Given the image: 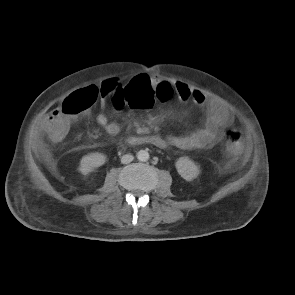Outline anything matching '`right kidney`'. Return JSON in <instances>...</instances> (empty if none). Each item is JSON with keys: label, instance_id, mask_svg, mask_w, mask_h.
I'll return each instance as SVG.
<instances>
[{"label": "right kidney", "instance_id": "ca27d5eb", "mask_svg": "<svg viewBox=\"0 0 295 295\" xmlns=\"http://www.w3.org/2000/svg\"><path fill=\"white\" fill-rule=\"evenodd\" d=\"M107 161V158L102 153H90L82 157L80 160L79 171L83 175H87L92 172L95 168H98L104 165Z\"/></svg>", "mask_w": 295, "mask_h": 295}]
</instances>
